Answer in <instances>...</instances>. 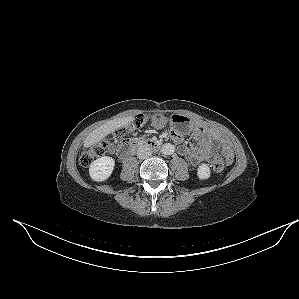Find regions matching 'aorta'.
Masks as SVG:
<instances>
[{
	"label": "aorta",
	"instance_id": "762f6f07",
	"mask_svg": "<svg viewBox=\"0 0 299 299\" xmlns=\"http://www.w3.org/2000/svg\"><path fill=\"white\" fill-rule=\"evenodd\" d=\"M162 153L165 154V155H171L174 153L175 151V147L174 145L170 144V143H166L162 146V149H161Z\"/></svg>",
	"mask_w": 299,
	"mask_h": 299
}]
</instances>
